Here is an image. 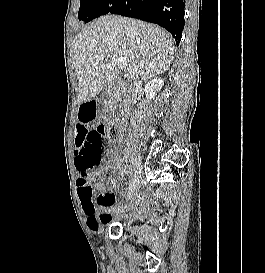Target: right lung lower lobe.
<instances>
[{
  "instance_id": "1",
  "label": "right lung lower lobe",
  "mask_w": 265,
  "mask_h": 273,
  "mask_svg": "<svg viewBox=\"0 0 265 273\" xmlns=\"http://www.w3.org/2000/svg\"><path fill=\"white\" fill-rule=\"evenodd\" d=\"M184 5L185 0H117L109 13L156 23L167 29L178 45L185 24Z\"/></svg>"
}]
</instances>
